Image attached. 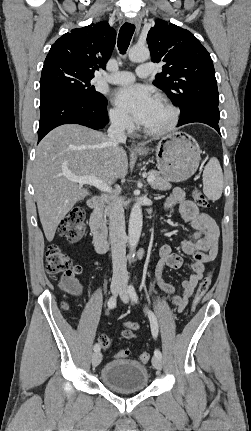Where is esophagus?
<instances>
[{"label":"esophagus","mask_w":251,"mask_h":431,"mask_svg":"<svg viewBox=\"0 0 251 431\" xmlns=\"http://www.w3.org/2000/svg\"><path fill=\"white\" fill-rule=\"evenodd\" d=\"M130 22L135 25L136 33H139L141 28V20L137 17L130 19ZM141 146L139 145H133V150H140Z\"/></svg>","instance_id":"1"}]
</instances>
